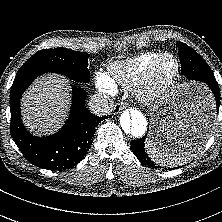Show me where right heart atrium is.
Masks as SVG:
<instances>
[{"label": "right heart atrium", "mask_w": 222, "mask_h": 222, "mask_svg": "<svg viewBox=\"0 0 222 222\" xmlns=\"http://www.w3.org/2000/svg\"><path fill=\"white\" fill-rule=\"evenodd\" d=\"M96 86L97 88L106 94H112L115 88L109 83L106 75L98 73L96 76Z\"/></svg>", "instance_id": "obj_1"}]
</instances>
